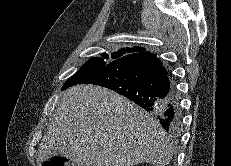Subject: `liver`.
<instances>
[{"mask_svg":"<svg viewBox=\"0 0 231 166\" xmlns=\"http://www.w3.org/2000/svg\"><path fill=\"white\" fill-rule=\"evenodd\" d=\"M60 155L78 166H166L173 147L160 123L100 86L69 88L38 149L40 161Z\"/></svg>","mask_w":231,"mask_h":166,"instance_id":"obj_1","label":"liver"}]
</instances>
